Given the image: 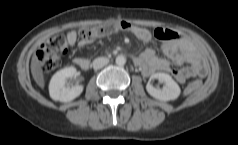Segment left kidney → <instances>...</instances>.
<instances>
[{
	"mask_svg": "<svg viewBox=\"0 0 238 145\" xmlns=\"http://www.w3.org/2000/svg\"><path fill=\"white\" fill-rule=\"evenodd\" d=\"M153 79H158L160 82L165 83V86L162 89L153 87L150 83V81ZM150 81L146 85V90L152 97L158 100H175L180 95L181 90L179 85L172 79L169 74L155 73L151 75Z\"/></svg>",
	"mask_w": 238,
	"mask_h": 145,
	"instance_id": "obj_1",
	"label": "left kidney"
}]
</instances>
